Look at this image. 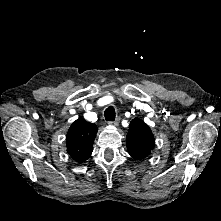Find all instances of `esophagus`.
Masks as SVG:
<instances>
[{"instance_id":"esophagus-1","label":"esophagus","mask_w":221,"mask_h":221,"mask_svg":"<svg viewBox=\"0 0 221 221\" xmlns=\"http://www.w3.org/2000/svg\"><path fill=\"white\" fill-rule=\"evenodd\" d=\"M108 124L111 125V126H115L116 127V126H118L119 121L118 120L109 121Z\"/></svg>"}]
</instances>
